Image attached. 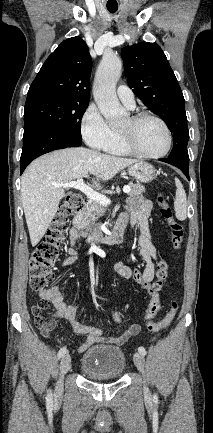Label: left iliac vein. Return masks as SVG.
Instances as JSON below:
<instances>
[{
  "mask_svg": "<svg viewBox=\"0 0 213 433\" xmlns=\"http://www.w3.org/2000/svg\"><path fill=\"white\" fill-rule=\"evenodd\" d=\"M133 360H134V363H135L137 369L141 373H144V366H145L144 356L141 353L137 352L134 354ZM144 393H145V395H149V389L147 386L144 387Z\"/></svg>",
  "mask_w": 213,
  "mask_h": 433,
  "instance_id": "obj_1",
  "label": "left iliac vein"
}]
</instances>
